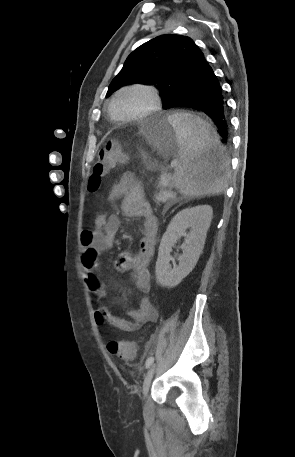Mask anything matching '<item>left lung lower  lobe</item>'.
<instances>
[{
	"label": "left lung lower lobe",
	"mask_w": 295,
	"mask_h": 457,
	"mask_svg": "<svg viewBox=\"0 0 295 457\" xmlns=\"http://www.w3.org/2000/svg\"><path fill=\"white\" fill-rule=\"evenodd\" d=\"M189 81L185 89L178 93L166 105L195 109L210 117L217 126V132L224 146H228L229 120L226 113L222 89L212 67L200 52L188 72Z\"/></svg>",
	"instance_id": "left-lung-lower-lobe-1"
}]
</instances>
